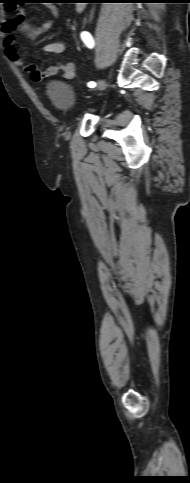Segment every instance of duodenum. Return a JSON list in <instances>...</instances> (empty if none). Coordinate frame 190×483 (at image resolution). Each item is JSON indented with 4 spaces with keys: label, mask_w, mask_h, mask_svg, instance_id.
Masks as SVG:
<instances>
[{
    "label": "duodenum",
    "mask_w": 190,
    "mask_h": 483,
    "mask_svg": "<svg viewBox=\"0 0 190 483\" xmlns=\"http://www.w3.org/2000/svg\"><path fill=\"white\" fill-rule=\"evenodd\" d=\"M81 9H82V8H81V6H79V7L77 8V10H78V11H81Z\"/></svg>",
    "instance_id": "1"
}]
</instances>
